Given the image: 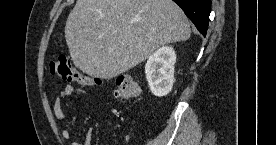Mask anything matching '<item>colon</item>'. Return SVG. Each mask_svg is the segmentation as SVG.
Here are the masks:
<instances>
[{
    "mask_svg": "<svg viewBox=\"0 0 276 145\" xmlns=\"http://www.w3.org/2000/svg\"><path fill=\"white\" fill-rule=\"evenodd\" d=\"M50 72L66 81H75L83 86L101 85L106 80L84 73L73 67L65 56L55 57L50 62ZM116 87V95L124 101L137 98L140 87L131 77L120 74L113 78Z\"/></svg>",
    "mask_w": 276,
    "mask_h": 145,
    "instance_id": "1",
    "label": "colon"
}]
</instances>
